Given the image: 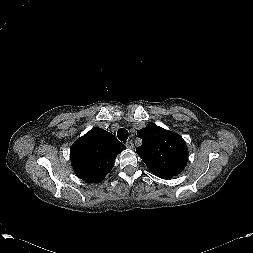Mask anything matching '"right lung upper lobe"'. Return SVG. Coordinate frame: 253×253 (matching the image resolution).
Returning <instances> with one entry per match:
<instances>
[{
  "instance_id": "right-lung-upper-lobe-1",
  "label": "right lung upper lobe",
  "mask_w": 253,
  "mask_h": 253,
  "mask_svg": "<svg viewBox=\"0 0 253 253\" xmlns=\"http://www.w3.org/2000/svg\"><path fill=\"white\" fill-rule=\"evenodd\" d=\"M124 149L125 145L113 134L94 128L72 146L71 163L82 180L89 183L101 182L113 168L117 154Z\"/></svg>"
}]
</instances>
